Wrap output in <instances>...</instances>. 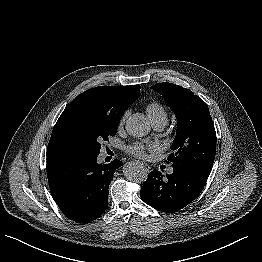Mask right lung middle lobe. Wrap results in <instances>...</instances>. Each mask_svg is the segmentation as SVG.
Returning <instances> with one entry per match:
<instances>
[{
  "instance_id": "obj_1",
  "label": "right lung middle lobe",
  "mask_w": 262,
  "mask_h": 262,
  "mask_svg": "<svg viewBox=\"0 0 262 262\" xmlns=\"http://www.w3.org/2000/svg\"><path fill=\"white\" fill-rule=\"evenodd\" d=\"M119 122L85 104L68 106L53 128L47 156H96L100 143L116 135Z\"/></svg>"
}]
</instances>
